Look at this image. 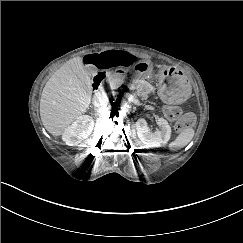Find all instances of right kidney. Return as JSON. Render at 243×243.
Segmentation results:
<instances>
[{"label":"right kidney","mask_w":243,"mask_h":243,"mask_svg":"<svg viewBox=\"0 0 243 243\" xmlns=\"http://www.w3.org/2000/svg\"><path fill=\"white\" fill-rule=\"evenodd\" d=\"M91 117L81 116L69 127L63 135V140L68 145H76L82 141L86 135L87 129L92 125Z\"/></svg>","instance_id":"ca27d5eb"}]
</instances>
